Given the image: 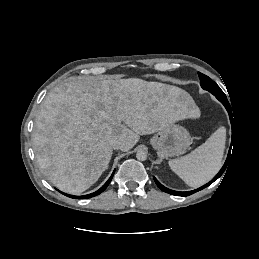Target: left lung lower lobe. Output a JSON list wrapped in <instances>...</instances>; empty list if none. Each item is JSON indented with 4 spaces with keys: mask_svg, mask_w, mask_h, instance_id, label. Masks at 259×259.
I'll list each match as a JSON object with an SVG mask.
<instances>
[{
    "mask_svg": "<svg viewBox=\"0 0 259 259\" xmlns=\"http://www.w3.org/2000/svg\"><path fill=\"white\" fill-rule=\"evenodd\" d=\"M215 96L226 107L227 111L229 112L230 119H231L230 105H229V102H228V100L226 98V95L225 94H215ZM231 122H232V120H231ZM232 142H233V136H232ZM230 151H231V149H230ZM230 151H229L227 160H226L224 166L222 167V169L219 171V173L209 183L205 184L204 186H202V187H200V188H198L196 190L188 191V192L173 191V190H170V189L164 187L162 184H160L155 177H154V180H155L156 184L158 185V187L161 190H163L164 192H166V193H169V194H172V195H176V196H188V195H191V194H193V193H195V192H197L199 190H202L203 188L209 186L210 184H212L216 179H218L223 174V172L225 171L226 166H227V164L229 162Z\"/></svg>",
    "mask_w": 259,
    "mask_h": 259,
    "instance_id": "left-lung-lower-lobe-1",
    "label": "left lung lower lobe"
}]
</instances>
